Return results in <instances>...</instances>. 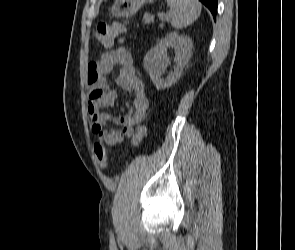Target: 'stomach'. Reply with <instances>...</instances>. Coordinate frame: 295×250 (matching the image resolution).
<instances>
[{
  "instance_id": "1",
  "label": "stomach",
  "mask_w": 295,
  "mask_h": 250,
  "mask_svg": "<svg viewBox=\"0 0 295 250\" xmlns=\"http://www.w3.org/2000/svg\"><path fill=\"white\" fill-rule=\"evenodd\" d=\"M154 0H115L111 12L113 15L129 17L135 14L145 3H152Z\"/></svg>"
}]
</instances>
